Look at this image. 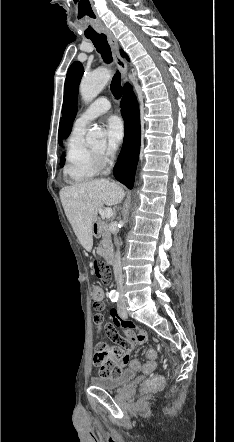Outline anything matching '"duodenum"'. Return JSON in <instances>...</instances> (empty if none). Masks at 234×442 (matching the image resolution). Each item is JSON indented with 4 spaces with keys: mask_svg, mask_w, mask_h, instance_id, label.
I'll list each match as a JSON object with an SVG mask.
<instances>
[{
    "mask_svg": "<svg viewBox=\"0 0 234 442\" xmlns=\"http://www.w3.org/2000/svg\"><path fill=\"white\" fill-rule=\"evenodd\" d=\"M103 230H104V225L102 223L97 222V223L94 224L93 233H94L95 236L101 235ZM100 253H101V256L103 257V259L106 261L107 264H112L113 263V261H114L113 254L106 246H103L101 248Z\"/></svg>",
    "mask_w": 234,
    "mask_h": 442,
    "instance_id": "obj_1",
    "label": "duodenum"
}]
</instances>
